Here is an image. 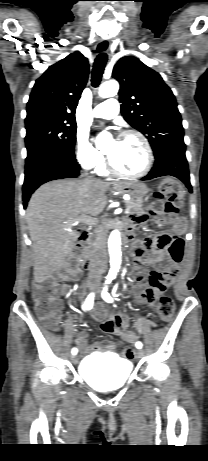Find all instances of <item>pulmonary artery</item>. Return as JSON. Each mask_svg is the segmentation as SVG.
Segmentation results:
<instances>
[{"label": "pulmonary artery", "mask_w": 208, "mask_h": 461, "mask_svg": "<svg viewBox=\"0 0 208 461\" xmlns=\"http://www.w3.org/2000/svg\"><path fill=\"white\" fill-rule=\"evenodd\" d=\"M119 113V103L116 99H108L97 105L92 115L95 118L112 119Z\"/></svg>", "instance_id": "1"}]
</instances>
